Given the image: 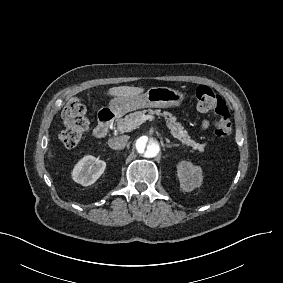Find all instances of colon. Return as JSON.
I'll use <instances>...</instances> for the list:
<instances>
[{
  "mask_svg": "<svg viewBox=\"0 0 283 283\" xmlns=\"http://www.w3.org/2000/svg\"><path fill=\"white\" fill-rule=\"evenodd\" d=\"M195 95L199 110L217 115L215 135L219 138L228 137L232 131L230 111L222 97L205 85L199 86ZM61 118L64 128L60 132V140L65 147L74 148L89 128L86 107L80 99H70L62 110Z\"/></svg>",
  "mask_w": 283,
  "mask_h": 283,
  "instance_id": "5ec220e1",
  "label": "colon"
}]
</instances>
